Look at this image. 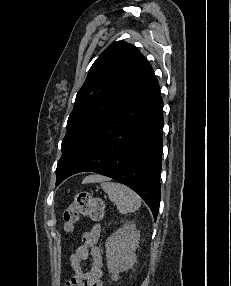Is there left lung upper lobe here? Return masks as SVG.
Returning a JSON list of instances; mask_svg holds the SVG:
<instances>
[{"instance_id":"5c2ea615","label":"left lung upper lobe","mask_w":231,"mask_h":286,"mask_svg":"<svg viewBox=\"0 0 231 286\" xmlns=\"http://www.w3.org/2000/svg\"><path fill=\"white\" fill-rule=\"evenodd\" d=\"M152 73V67L138 49L124 41L112 43L97 58L77 93L68 118L56 184L90 131Z\"/></svg>"}]
</instances>
